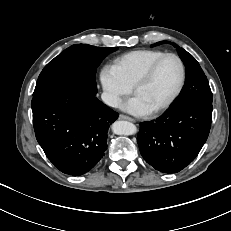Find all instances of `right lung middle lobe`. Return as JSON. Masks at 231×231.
<instances>
[{
	"label": "right lung middle lobe",
	"mask_w": 231,
	"mask_h": 231,
	"mask_svg": "<svg viewBox=\"0 0 231 231\" xmlns=\"http://www.w3.org/2000/svg\"><path fill=\"white\" fill-rule=\"evenodd\" d=\"M117 47L72 45L51 60L42 70L33 97L67 88L97 93L95 73L102 59Z\"/></svg>",
	"instance_id": "right-lung-middle-lobe-1"
}]
</instances>
